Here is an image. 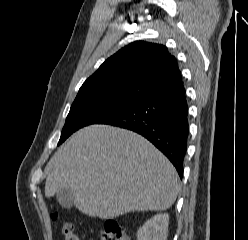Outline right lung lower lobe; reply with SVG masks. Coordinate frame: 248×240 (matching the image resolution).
I'll return each instance as SVG.
<instances>
[{"instance_id":"1","label":"right lung lower lobe","mask_w":248,"mask_h":240,"mask_svg":"<svg viewBox=\"0 0 248 240\" xmlns=\"http://www.w3.org/2000/svg\"><path fill=\"white\" fill-rule=\"evenodd\" d=\"M97 123L141 134L167 156L182 178L189 134L188 105L183 84L138 99Z\"/></svg>"}]
</instances>
